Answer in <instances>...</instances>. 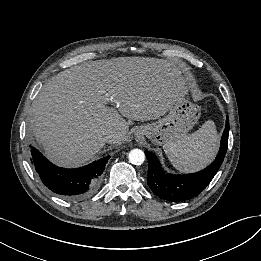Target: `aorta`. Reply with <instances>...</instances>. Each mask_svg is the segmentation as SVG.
I'll list each match as a JSON object with an SVG mask.
<instances>
[{"instance_id": "aorta-1", "label": "aorta", "mask_w": 261, "mask_h": 261, "mask_svg": "<svg viewBox=\"0 0 261 261\" xmlns=\"http://www.w3.org/2000/svg\"><path fill=\"white\" fill-rule=\"evenodd\" d=\"M129 161L133 165H141L145 161V154L140 149H132L129 152Z\"/></svg>"}]
</instances>
